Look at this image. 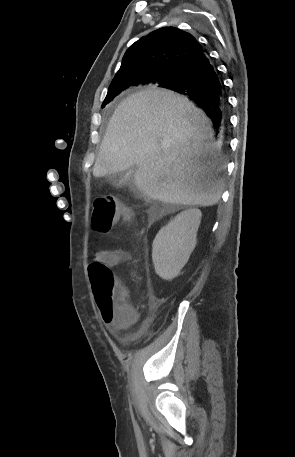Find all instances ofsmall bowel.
<instances>
[{"label": "small bowel", "mask_w": 295, "mask_h": 457, "mask_svg": "<svg viewBox=\"0 0 295 457\" xmlns=\"http://www.w3.org/2000/svg\"><path fill=\"white\" fill-rule=\"evenodd\" d=\"M131 254L128 251L121 250V249H106L99 251L96 254V259L98 262L116 266L119 265L127 260H129ZM104 320V319H103ZM137 320V314L135 310L129 305L128 306V319L121 320V319H110L104 320L105 324L109 327V329L115 333H120L121 330L128 327L129 325L133 324Z\"/></svg>", "instance_id": "c3829d8e"}]
</instances>
